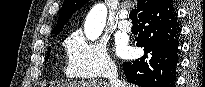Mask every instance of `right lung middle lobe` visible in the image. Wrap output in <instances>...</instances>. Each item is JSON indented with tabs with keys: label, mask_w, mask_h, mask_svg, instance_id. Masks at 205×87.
<instances>
[{
	"label": "right lung middle lobe",
	"mask_w": 205,
	"mask_h": 87,
	"mask_svg": "<svg viewBox=\"0 0 205 87\" xmlns=\"http://www.w3.org/2000/svg\"><path fill=\"white\" fill-rule=\"evenodd\" d=\"M49 56H50V48H48V53H47V58H46V60L48 59Z\"/></svg>",
	"instance_id": "obj_1"
}]
</instances>
